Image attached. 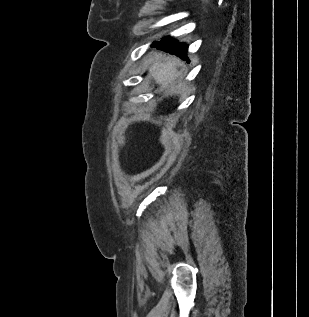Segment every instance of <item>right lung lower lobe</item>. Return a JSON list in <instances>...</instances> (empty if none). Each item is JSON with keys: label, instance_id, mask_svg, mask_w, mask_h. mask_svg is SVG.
I'll return each instance as SVG.
<instances>
[{"label": "right lung lower lobe", "instance_id": "1", "mask_svg": "<svg viewBox=\"0 0 309 317\" xmlns=\"http://www.w3.org/2000/svg\"><path fill=\"white\" fill-rule=\"evenodd\" d=\"M152 47H156L170 54H176L178 57L188 60L186 55L187 53V45L184 43H178L177 41H173L171 37L162 38L159 42H154Z\"/></svg>", "mask_w": 309, "mask_h": 317}]
</instances>
